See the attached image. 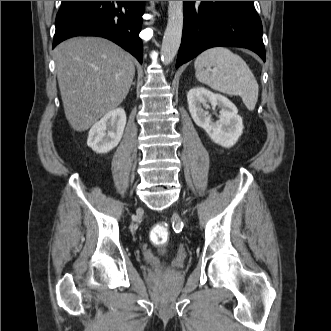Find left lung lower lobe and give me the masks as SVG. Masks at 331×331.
Instances as JSON below:
<instances>
[{"mask_svg": "<svg viewBox=\"0 0 331 331\" xmlns=\"http://www.w3.org/2000/svg\"><path fill=\"white\" fill-rule=\"evenodd\" d=\"M176 68L216 46L243 47L265 61L262 23L253 1H184Z\"/></svg>", "mask_w": 331, "mask_h": 331, "instance_id": "0a47b994", "label": "left lung lower lobe"}]
</instances>
